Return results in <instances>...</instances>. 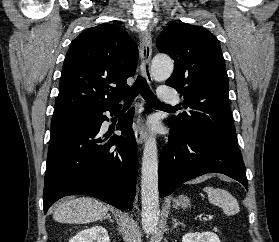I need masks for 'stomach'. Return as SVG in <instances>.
I'll use <instances>...</instances> for the list:
<instances>
[{"label": "stomach", "mask_w": 279, "mask_h": 242, "mask_svg": "<svg viewBox=\"0 0 279 242\" xmlns=\"http://www.w3.org/2000/svg\"><path fill=\"white\" fill-rule=\"evenodd\" d=\"M176 206H181L182 208H186L190 205V200L186 196H179L174 200Z\"/></svg>", "instance_id": "0dacf381"}]
</instances>
